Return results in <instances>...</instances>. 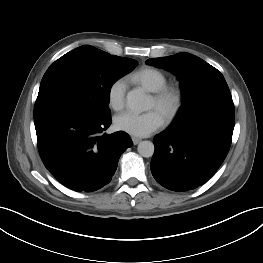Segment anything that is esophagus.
<instances>
[{
	"label": "esophagus",
	"instance_id": "1",
	"mask_svg": "<svg viewBox=\"0 0 263 263\" xmlns=\"http://www.w3.org/2000/svg\"><path fill=\"white\" fill-rule=\"evenodd\" d=\"M132 141H133V144H134V145H137V144L141 141V138L132 137Z\"/></svg>",
	"mask_w": 263,
	"mask_h": 263
}]
</instances>
